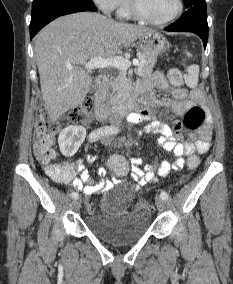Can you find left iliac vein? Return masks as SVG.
<instances>
[{
  "instance_id": "left-iliac-vein-1",
  "label": "left iliac vein",
  "mask_w": 233,
  "mask_h": 284,
  "mask_svg": "<svg viewBox=\"0 0 233 284\" xmlns=\"http://www.w3.org/2000/svg\"><path fill=\"white\" fill-rule=\"evenodd\" d=\"M155 204H156L157 209H158L159 211H163V210L165 209V207H166V202H165V200H164L163 198L159 197V196H157V197L155 198Z\"/></svg>"
}]
</instances>
